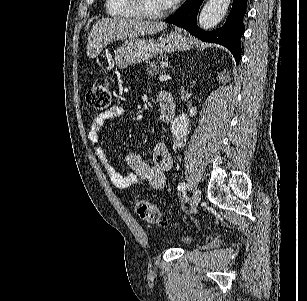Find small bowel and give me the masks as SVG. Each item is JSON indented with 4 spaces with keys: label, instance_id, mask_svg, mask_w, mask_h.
<instances>
[{
    "label": "small bowel",
    "instance_id": "1",
    "mask_svg": "<svg viewBox=\"0 0 307 301\" xmlns=\"http://www.w3.org/2000/svg\"><path fill=\"white\" fill-rule=\"evenodd\" d=\"M124 114V108L114 105L97 115L91 122L88 139L97 144L100 141L105 123L111 119L119 118ZM95 155L105 168L113 185L120 189L148 184L154 190H162L166 185V172L172 166V156L165 145H158L154 150V165L150 166L140 155L130 153L126 156L130 172L121 174L110 162L102 147L95 149Z\"/></svg>",
    "mask_w": 307,
    "mask_h": 301
}]
</instances>
